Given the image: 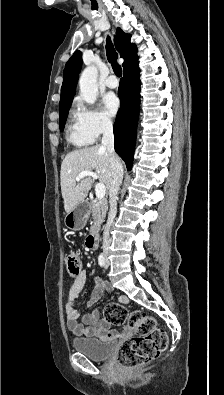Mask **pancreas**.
I'll use <instances>...</instances> for the list:
<instances>
[{"instance_id": "cf45deb5", "label": "pancreas", "mask_w": 224, "mask_h": 395, "mask_svg": "<svg viewBox=\"0 0 224 395\" xmlns=\"http://www.w3.org/2000/svg\"><path fill=\"white\" fill-rule=\"evenodd\" d=\"M89 209L94 220V225L92 226L91 230H94L95 227L100 226L104 222V218L108 209V201L104 198L91 200Z\"/></svg>"}]
</instances>
